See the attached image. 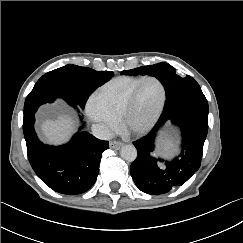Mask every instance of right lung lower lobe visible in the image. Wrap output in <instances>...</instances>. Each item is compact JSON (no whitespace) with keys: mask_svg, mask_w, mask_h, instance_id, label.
<instances>
[{"mask_svg":"<svg viewBox=\"0 0 243 243\" xmlns=\"http://www.w3.org/2000/svg\"><path fill=\"white\" fill-rule=\"evenodd\" d=\"M64 97L54 92L31 91L24 104L23 132L28 159L36 175L54 191L74 195L86 192L95 183L102 153L109 149L108 141L82 131L65 145H44L34 130L35 112L40 105Z\"/></svg>","mask_w":243,"mask_h":243,"instance_id":"98d812e1","label":"right lung lower lobe"}]
</instances>
